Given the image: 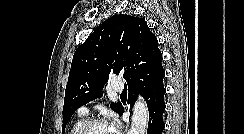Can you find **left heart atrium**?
I'll return each mask as SVG.
<instances>
[{
	"label": "left heart atrium",
	"instance_id": "1",
	"mask_svg": "<svg viewBox=\"0 0 244 134\" xmlns=\"http://www.w3.org/2000/svg\"><path fill=\"white\" fill-rule=\"evenodd\" d=\"M108 127H109V129H110V131H111L112 134H118V130H117L116 123H112Z\"/></svg>",
	"mask_w": 244,
	"mask_h": 134
}]
</instances>
